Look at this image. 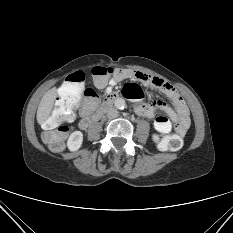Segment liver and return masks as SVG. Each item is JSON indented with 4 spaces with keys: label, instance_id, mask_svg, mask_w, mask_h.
Listing matches in <instances>:
<instances>
[{
    "label": "liver",
    "instance_id": "obj_1",
    "mask_svg": "<svg viewBox=\"0 0 233 233\" xmlns=\"http://www.w3.org/2000/svg\"><path fill=\"white\" fill-rule=\"evenodd\" d=\"M56 97H57V89L55 87H53L43 95L40 104L38 106L37 115H36L37 121L40 125H42L49 117L53 109Z\"/></svg>",
    "mask_w": 233,
    "mask_h": 233
}]
</instances>
